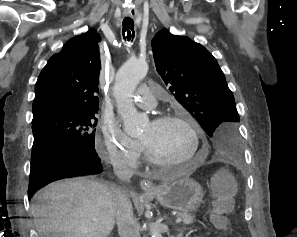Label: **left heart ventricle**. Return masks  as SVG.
<instances>
[{"label": "left heart ventricle", "instance_id": "left-heart-ventricle-1", "mask_svg": "<svg viewBox=\"0 0 297 237\" xmlns=\"http://www.w3.org/2000/svg\"><path fill=\"white\" fill-rule=\"evenodd\" d=\"M139 140L164 160H180L193 151L192 137L181 123L149 122L144 126Z\"/></svg>", "mask_w": 297, "mask_h": 237}]
</instances>
